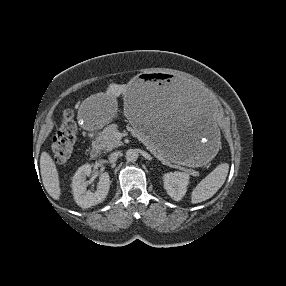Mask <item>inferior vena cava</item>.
<instances>
[{
  "mask_svg": "<svg viewBox=\"0 0 286 286\" xmlns=\"http://www.w3.org/2000/svg\"><path fill=\"white\" fill-rule=\"evenodd\" d=\"M120 156V152H113L109 155V162L110 163H115L117 161V159L119 158Z\"/></svg>",
  "mask_w": 286,
  "mask_h": 286,
  "instance_id": "602c4592",
  "label": "inferior vena cava"
}]
</instances>
